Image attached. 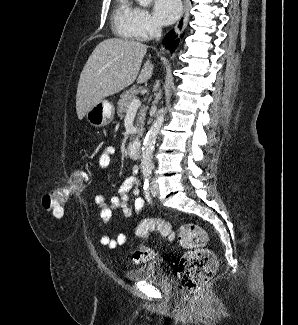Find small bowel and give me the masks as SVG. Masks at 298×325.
Here are the masks:
<instances>
[{"label":"small bowel","instance_id":"1","mask_svg":"<svg viewBox=\"0 0 298 325\" xmlns=\"http://www.w3.org/2000/svg\"><path fill=\"white\" fill-rule=\"evenodd\" d=\"M116 150L114 146H107L99 157V167L106 169L112 161ZM136 169L132 175L126 178L118 190V195L108 197L107 193H100L95 196L94 202L99 211V215L104 222L109 221L114 210L120 209L123 214L131 219H135L145 205L144 199L140 196L139 181L136 177ZM130 193L132 198H130ZM109 203L107 204V199ZM127 242V235L122 232L116 238L109 234H102L100 243L110 249L123 246Z\"/></svg>","mask_w":298,"mask_h":325}]
</instances>
